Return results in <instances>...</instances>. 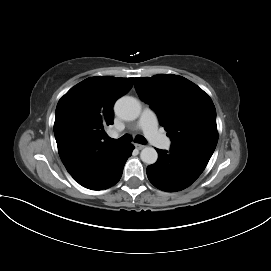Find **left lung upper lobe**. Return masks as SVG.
<instances>
[{
  "instance_id": "obj_1",
  "label": "left lung upper lobe",
  "mask_w": 271,
  "mask_h": 271,
  "mask_svg": "<svg viewBox=\"0 0 271 271\" xmlns=\"http://www.w3.org/2000/svg\"><path fill=\"white\" fill-rule=\"evenodd\" d=\"M134 85L167 130L171 150L210 159L218 141L216 110L201 88L184 77L165 74L135 78Z\"/></svg>"
}]
</instances>
